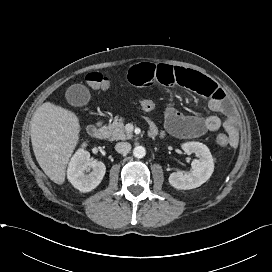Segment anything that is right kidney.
<instances>
[{"instance_id": "right-kidney-1", "label": "right kidney", "mask_w": 272, "mask_h": 272, "mask_svg": "<svg viewBox=\"0 0 272 272\" xmlns=\"http://www.w3.org/2000/svg\"><path fill=\"white\" fill-rule=\"evenodd\" d=\"M86 144H83V147ZM92 170L91 172H89ZM86 172H89L88 174ZM106 172L103 162H91L90 153L84 148L78 149L73 155L67 170L69 182L81 192L95 189L102 181Z\"/></svg>"}]
</instances>
